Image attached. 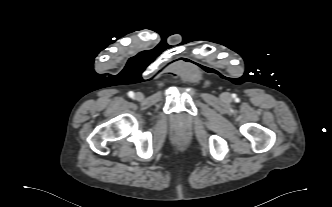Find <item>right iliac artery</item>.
<instances>
[{
	"label": "right iliac artery",
	"mask_w": 332,
	"mask_h": 207,
	"mask_svg": "<svg viewBox=\"0 0 332 207\" xmlns=\"http://www.w3.org/2000/svg\"><path fill=\"white\" fill-rule=\"evenodd\" d=\"M128 96H129L130 98H133V97H134V92H132V91L128 92Z\"/></svg>",
	"instance_id": "obj_1"
}]
</instances>
